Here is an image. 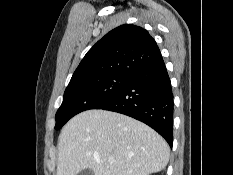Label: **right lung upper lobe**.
Listing matches in <instances>:
<instances>
[{
	"instance_id": "1",
	"label": "right lung upper lobe",
	"mask_w": 233,
	"mask_h": 175,
	"mask_svg": "<svg viewBox=\"0 0 233 175\" xmlns=\"http://www.w3.org/2000/svg\"><path fill=\"white\" fill-rule=\"evenodd\" d=\"M161 59L155 40L145 29L132 24L121 25L88 51L70 83L113 73L133 76Z\"/></svg>"
}]
</instances>
